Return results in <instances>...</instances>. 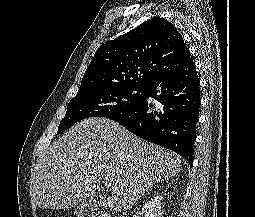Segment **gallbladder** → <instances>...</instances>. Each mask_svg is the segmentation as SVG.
I'll return each instance as SVG.
<instances>
[{
	"label": "gallbladder",
	"mask_w": 255,
	"mask_h": 217,
	"mask_svg": "<svg viewBox=\"0 0 255 217\" xmlns=\"http://www.w3.org/2000/svg\"><path fill=\"white\" fill-rule=\"evenodd\" d=\"M101 202V198H89L84 202L79 203L75 210L74 214L76 217H85L87 215H93L96 210L97 205Z\"/></svg>",
	"instance_id": "1"
}]
</instances>
